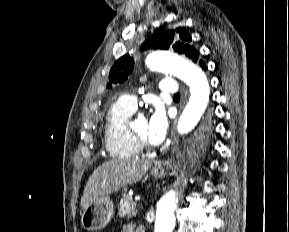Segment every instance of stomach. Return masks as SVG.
I'll return each instance as SVG.
<instances>
[{"label": "stomach", "mask_w": 289, "mask_h": 232, "mask_svg": "<svg viewBox=\"0 0 289 232\" xmlns=\"http://www.w3.org/2000/svg\"><path fill=\"white\" fill-rule=\"evenodd\" d=\"M151 174L155 178L164 177L167 172L162 167H155ZM114 213V204L108 196L101 197L90 203L81 216V224L88 231H98L108 225Z\"/></svg>", "instance_id": "obj_1"}]
</instances>
